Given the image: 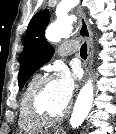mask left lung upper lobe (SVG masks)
Returning a JSON list of instances; mask_svg holds the SVG:
<instances>
[{
    "mask_svg": "<svg viewBox=\"0 0 116 134\" xmlns=\"http://www.w3.org/2000/svg\"><path fill=\"white\" fill-rule=\"evenodd\" d=\"M49 19L50 12L42 10L36 13L29 22L18 75L19 89L23 88L30 76L47 63L54 53L53 46L47 42L44 36Z\"/></svg>",
    "mask_w": 116,
    "mask_h": 134,
    "instance_id": "left-lung-upper-lobe-1",
    "label": "left lung upper lobe"
}]
</instances>
